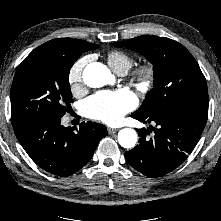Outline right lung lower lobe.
Returning <instances> with one entry per match:
<instances>
[{
	"mask_svg": "<svg viewBox=\"0 0 221 221\" xmlns=\"http://www.w3.org/2000/svg\"><path fill=\"white\" fill-rule=\"evenodd\" d=\"M13 129L30 158L42 169L61 177L85 166L107 135L104 125L90 121L83 122L77 133L52 119L26 122Z\"/></svg>",
	"mask_w": 221,
	"mask_h": 221,
	"instance_id": "right-lung-lower-lobe-1",
	"label": "right lung lower lobe"
}]
</instances>
